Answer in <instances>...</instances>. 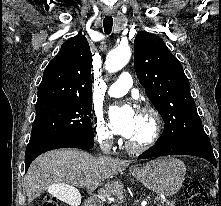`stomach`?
<instances>
[{
	"label": "stomach",
	"instance_id": "1",
	"mask_svg": "<svg viewBox=\"0 0 221 206\" xmlns=\"http://www.w3.org/2000/svg\"><path fill=\"white\" fill-rule=\"evenodd\" d=\"M186 167L172 157H161L148 162L133 175L148 189L164 195L176 193L182 186Z\"/></svg>",
	"mask_w": 221,
	"mask_h": 206
}]
</instances>
